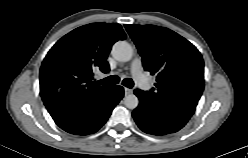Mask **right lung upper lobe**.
<instances>
[{
	"label": "right lung upper lobe",
	"mask_w": 248,
	"mask_h": 158,
	"mask_svg": "<svg viewBox=\"0 0 248 158\" xmlns=\"http://www.w3.org/2000/svg\"><path fill=\"white\" fill-rule=\"evenodd\" d=\"M125 38L119 24L92 23L66 34L50 49L40 69V94L50 115L81 107L109 88L92 81L93 71L109 72L110 49Z\"/></svg>",
	"instance_id": "right-lung-upper-lobe-1"
}]
</instances>
